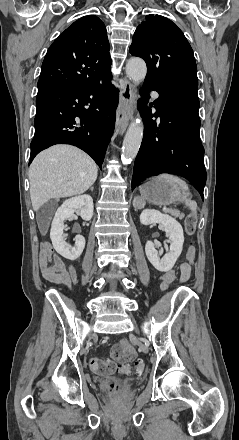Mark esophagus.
Here are the masks:
<instances>
[{
	"label": "esophagus",
	"mask_w": 239,
	"mask_h": 440,
	"mask_svg": "<svg viewBox=\"0 0 239 440\" xmlns=\"http://www.w3.org/2000/svg\"><path fill=\"white\" fill-rule=\"evenodd\" d=\"M135 89L129 80L125 79L124 88L120 92L121 108L116 118V133L122 135L133 116V107L135 104Z\"/></svg>",
	"instance_id": "esophagus-1"
}]
</instances>
